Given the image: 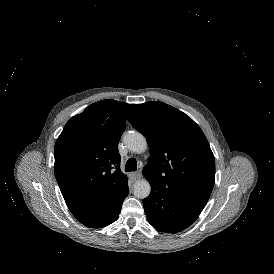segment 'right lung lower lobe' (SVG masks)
<instances>
[{"label": "right lung lower lobe", "mask_w": 274, "mask_h": 274, "mask_svg": "<svg viewBox=\"0 0 274 274\" xmlns=\"http://www.w3.org/2000/svg\"><path fill=\"white\" fill-rule=\"evenodd\" d=\"M128 193H129V189H128V185H127V187L124 190H122L120 192V194L117 196L116 200L110 207L109 212L107 214H105L101 218V220L91 222V223H86L84 225H86L87 227H91V228H100V227H104V226H107V225L113 223L118 218L119 213L121 211L122 203H123L124 199L127 197Z\"/></svg>", "instance_id": "obj_1"}]
</instances>
